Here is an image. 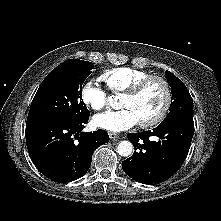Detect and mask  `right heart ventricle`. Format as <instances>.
I'll list each match as a JSON object with an SVG mask.
<instances>
[{
    "label": "right heart ventricle",
    "mask_w": 221,
    "mask_h": 221,
    "mask_svg": "<svg viewBox=\"0 0 221 221\" xmlns=\"http://www.w3.org/2000/svg\"><path fill=\"white\" fill-rule=\"evenodd\" d=\"M151 75L149 72L132 67H117L104 71L100 79L112 93H125L136 82Z\"/></svg>",
    "instance_id": "e07e8e85"
}]
</instances>
